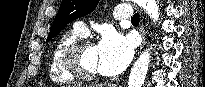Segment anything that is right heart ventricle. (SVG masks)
<instances>
[{
  "instance_id": "obj_1",
  "label": "right heart ventricle",
  "mask_w": 205,
  "mask_h": 87,
  "mask_svg": "<svg viewBox=\"0 0 205 87\" xmlns=\"http://www.w3.org/2000/svg\"><path fill=\"white\" fill-rule=\"evenodd\" d=\"M80 38V33L71 30L64 33L56 41L49 62V77L53 83L64 85L75 81V78L65 70L62 64V56L66 48Z\"/></svg>"
}]
</instances>
